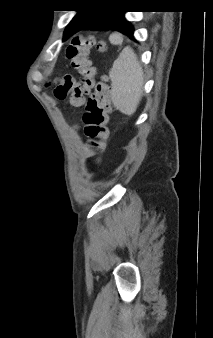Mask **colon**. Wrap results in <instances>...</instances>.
I'll return each mask as SVG.
<instances>
[{"instance_id":"obj_1","label":"colon","mask_w":213,"mask_h":338,"mask_svg":"<svg viewBox=\"0 0 213 338\" xmlns=\"http://www.w3.org/2000/svg\"><path fill=\"white\" fill-rule=\"evenodd\" d=\"M99 51L106 49L103 40L95 36L74 37L66 49V56L70 60L71 68L80 75L79 83L71 75H65L54 81L56 85L55 97L64 99L70 95L73 106H80L83 94L88 93L85 111L82 117L84 134L92 148L100 147L108 138L109 126V98L110 89L106 82L96 80V67L89 60L92 47Z\"/></svg>"}]
</instances>
